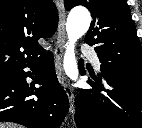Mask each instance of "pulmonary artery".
Masks as SVG:
<instances>
[{"label":"pulmonary artery","instance_id":"e3ab8cb5","mask_svg":"<svg viewBox=\"0 0 142 128\" xmlns=\"http://www.w3.org/2000/svg\"><path fill=\"white\" fill-rule=\"evenodd\" d=\"M81 51L84 55L88 56L92 60L94 66L97 69H100V61L95 50L92 47L88 45H83Z\"/></svg>","mask_w":142,"mask_h":128}]
</instances>
